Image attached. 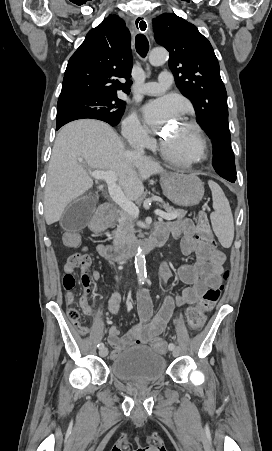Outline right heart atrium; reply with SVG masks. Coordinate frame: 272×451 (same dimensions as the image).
Returning a JSON list of instances; mask_svg holds the SVG:
<instances>
[{"instance_id": "1", "label": "right heart atrium", "mask_w": 272, "mask_h": 451, "mask_svg": "<svg viewBox=\"0 0 272 451\" xmlns=\"http://www.w3.org/2000/svg\"><path fill=\"white\" fill-rule=\"evenodd\" d=\"M124 130L130 141L143 142L148 138L147 131L139 118L132 114L124 122Z\"/></svg>"}]
</instances>
